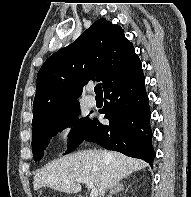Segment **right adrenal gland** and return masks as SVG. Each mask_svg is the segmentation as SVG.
Instances as JSON below:
<instances>
[{
    "label": "right adrenal gland",
    "instance_id": "1",
    "mask_svg": "<svg viewBox=\"0 0 191 197\" xmlns=\"http://www.w3.org/2000/svg\"><path fill=\"white\" fill-rule=\"evenodd\" d=\"M123 189H124L123 183L115 184L114 188L110 191V194L108 197H112V195L118 193L119 191H121Z\"/></svg>",
    "mask_w": 191,
    "mask_h": 197
}]
</instances>
